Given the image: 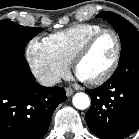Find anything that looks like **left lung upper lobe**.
<instances>
[{"label":"left lung upper lobe","mask_w":139,"mask_h":139,"mask_svg":"<svg viewBox=\"0 0 139 139\" xmlns=\"http://www.w3.org/2000/svg\"><path fill=\"white\" fill-rule=\"evenodd\" d=\"M97 17L107 20L119 34L121 40L120 60L129 53L139 50V32L130 22L113 12H101Z\"/></svg>","instance_id":"obj_1"}]
</instances>
